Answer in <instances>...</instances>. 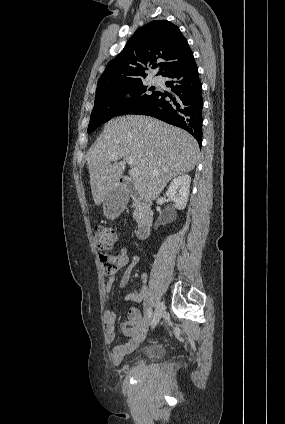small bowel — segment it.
<instances>
[{
	"mask_svg": "<svg viewBox=\"0 0 285 424\" xmlns=\"http://www.w3.org/2000/svg\"><path fill=\"white\" fill-rule=\"evenodd\" d=\"M118 259L120 261L121 267H126L120 281V287L125 288L130 280L133 268L139 261V257L135 254L129 257L127 249L121 248ZM115 281L116 277L114 275L108 277L104 287V292L107 296L111 295ZM141 281V287L128 293L125 296V300L127 302H144L143 311L139 310L138 308H131L127 313V318L121 322V332L123 336L128 338V341L115 345L112 348L109 354V358L110 361L114 364L119 363L126 354L130 353L136 348V346L143 339L149 325L148 311L150 306L146 302L148 288L146 286L147 276L145 274L141 275ZM117 317V313L113 310H106L104 312V340L108 344L112 343L114 340V329Z\"/></svg>",
	"mask_w": 285,
	"mask_h": 424,
	"instance_id": "c3829d8e",
	"label": "small bowel"
}]
</instances>
